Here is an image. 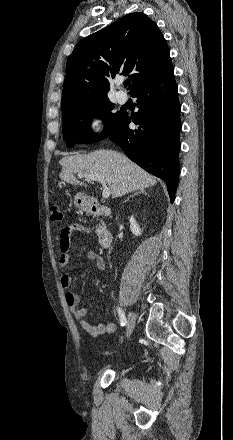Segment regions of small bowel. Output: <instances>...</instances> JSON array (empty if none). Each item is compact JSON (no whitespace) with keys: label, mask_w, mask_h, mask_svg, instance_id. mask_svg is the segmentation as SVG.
Masks as SVG:
<instances>
[{"label":"small bowel","mask_w":233,"mask_h":440,"mask_svg":"<svg viewBox=\"0 0 233 440\" xmlns=\"http://www.w3.org/2000/svg\"><path fill=\"white\" fill-rule=\"evenodd\" d=\"M89 229L82 224L73 223L66 225L62 228L59 235V249L60 256L58 259L59 265L66 267L71 261V238L77 232H88ZM87 259L93 262L99 271H103L106 267L105 260L95 250H89L86 254ZM72 277L70 274L65 273L60 277V285L64 289H68L71 286ZM65 301L71 309L74 317L78 320L81 328L92 337H97L104 334L112 333L116 330L115 323L108 324H91L85 320L87 315V309L80 307V296L76 292L66 291Z\"/></svg>","instance_id":"obj_1"}]
</instances>
